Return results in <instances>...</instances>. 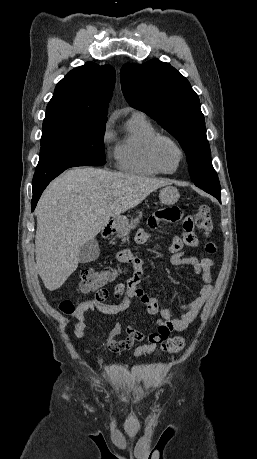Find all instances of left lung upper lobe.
Masks as SVG:
<instances>
[{"mask_svg":"<svg viewBox=\"0 0 257 459\" xmlns=\"http://www.w3.org/2000/svg\"><path fill=\"white\" fill-rule=\"evenodd\" d=\"M120 77L130 106L145 112L179 141L194 184L219 200L221 188L212 166L204 115L188 80L159 60L127 63Z\"/></svg>","mask_w":257,"mask_h":459,"instance_id":"left-lung-upper-lobe-1","label":"left lung upper lobe"}]
</instances>
